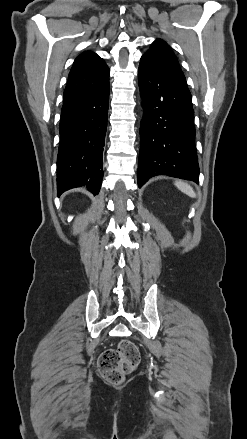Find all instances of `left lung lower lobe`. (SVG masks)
I'll use <instances>...</instances> for the list:
<instances>
[{
	"label": "left lung lower lobe",
	"instance_id": "obj_1",
	"mask_svg": "<svg viewBox=\"0 0 247 439\" xmlns=\"http://www.w3.org/2000/svg\"><path fill=\"white\" fill-rule=\"evenodd\" d=\"M138 81L144 100L138 186L160 174L197 182L194 111L188 87L143 60Z\"/></svg>",
	"mask_w": 247,
	"mask_h": 439
}]
</instances>
